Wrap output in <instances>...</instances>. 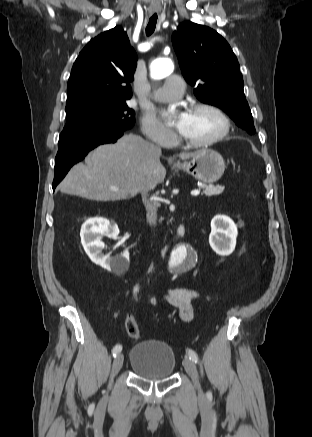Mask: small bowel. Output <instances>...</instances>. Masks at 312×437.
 Instances as JSON below:
<instances>
[{"mask_svg": "<svg viewBox=\"0 0 312 437\" xmlns=\"http://www.w3.org/2000/svg\"><path fill=\"white\" fill-rule=\"evenodd\" d=\"M197 295L194 290L189 288H174L159 298L155 296H150V301L152 303H157L162 301L169 307L174 309L179 318L183 321H189L194 314L193 301L196 299Z\"/></svg>", "mask_w": 312, "mask_h": 437, "instance_id": "obj_1", "label": "small bowel"}]
</instances>
